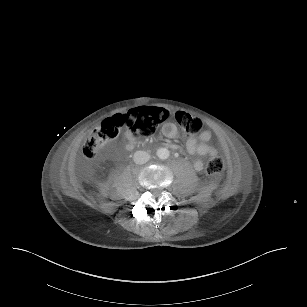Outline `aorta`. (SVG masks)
<instances>
[{
  "mask_svg": "<svg viewBox=\"0 0 307 307\" xmlns=\"http://www.w3.org/2000/svg\"><path fill=\"white\" fill-rule=\"evenodd\" d=\"M158 158L165 160L169 158L170 156V151L167 148H159L156 152Z\"/></svg>",
  "mask_w": 307,
  "mask_h": 307,
  "instance_id": "762f6f07",
  "label": "aorta"
}]
</instances>
